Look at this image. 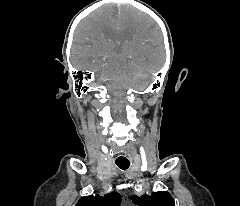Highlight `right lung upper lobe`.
Instances as JSON below:
<instances>
[{"mask_svg": "<svg viewBox=\"0 0 240 206\" xmlns=\"http://www.w3.org/2000/svg\"><path fill=\"white\" fill-rule=\"evenodd\" d=\"M120 201V194L117 192H111L104 197L99 195L84 196L80 198L76 206H119Z\"/></svg>", "mask_w": 240, "mask_h": 206, "instance_id": "cb5924a9", "label": "right lung upper lobe"}]
</instances>
